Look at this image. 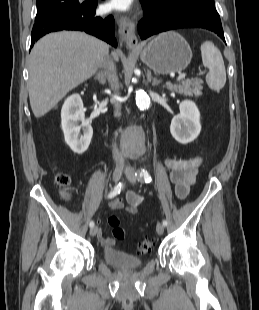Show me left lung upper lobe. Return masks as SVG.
Returning <instances> with one entry per match:
<instances>
[{
	"mask_svg": "<svg viewBox=\"0 0 259 310\" xmlns=\"http://www.w3.org/2000/svg\"><path fill=\"white\" fill-rule=\"evenodd\" d=\"M146 2L156 13L163 15L174 10L193 6V5H207L215 6L214 0H140Z\"/></svg>",
	"mask_w": 259,
	"mask_h": 310,
	"instance_id": "5c2ea615",
	"label": "left lung upper lobe"
}]
</instances>
